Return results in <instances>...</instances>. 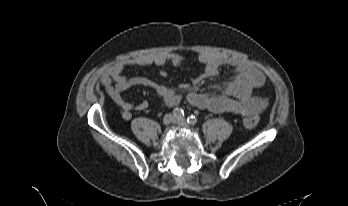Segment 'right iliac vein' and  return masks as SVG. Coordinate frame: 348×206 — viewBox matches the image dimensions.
<instances>
[{
    "mask_svg": "<svg viewBox=\"0 0 348 206\" xmlns=\"http://www.w3.org/2000/svg\"><path fill=\"white\" fill-rule=\"evenodd\" d=\"M175 118L172 114H166L163 118V123L165 125H169L170 123L174 122Z\"/></svg>",
    "mask_w": 348,
    "mask_h": 206,
    "instance_id": "1",
    "label": "right iliac vein"
}]
</instances>
